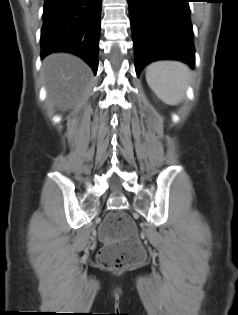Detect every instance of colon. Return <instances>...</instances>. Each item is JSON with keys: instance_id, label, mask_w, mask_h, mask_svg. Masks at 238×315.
<instances>
[{"instance_id": "5ec220e1", "label": "colon", "mask_w": 238, "mask_h": 315, "mask_svg": "<svg viewBox=\"0 0 238 315\" xmlns=\"http://www.w3.org/2000/svg\"><path fill=\"white\" fill-rule=\"evenodd\" d=\"M99 235L106 243L98 255L102 266L120 270L136 266L145 260V251L137 229L126 213H109L100 226Z\"/></svg>"}]
</instances>
